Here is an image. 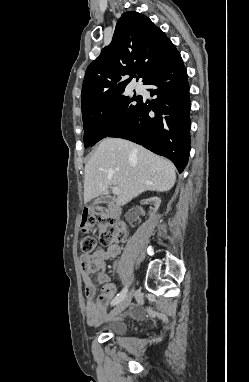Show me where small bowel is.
Instances as JSON below:
<instances>
[{
	"instance_id": "small-bowel-1",
	"label": "small bowel",
	"mask_w": 249,
	"mask_h": 382,
	"mask_svg": "<svg viewBox=\"0 0 249 382\" xmlns=\"http://www.w3.org/2000/svg\"><path fill=\"white\" fill-rule=\"evenodd\" d=\"M120 250L118 244H113L106 249L99 247L80 256V267L86 297V320L89 325L98 324L106 316L108 306L116 293V287L111 282L105 269L106 261L117 257ZM93 274L96 275L97 283L103 288L102 293L96 300H94Z\"/></svg>"
}]
</instances>
